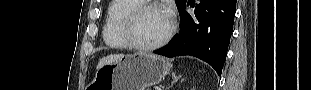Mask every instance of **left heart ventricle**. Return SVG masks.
<instances>
[{
	"mask_svg": "<svg viewBox=\"0 0 311 90\" xmlns=\"http://www.w3.org/2000/svg\"><path fill=\"white\" fill-rule=\"evenodd\" d=\"M170 19L161 9L147 10L139 18L136 37L142 44H152L160 40L168 31Z\"/></svg>",
	"mask_w": 311,
	"mask_h": 90,
	"instance_id": "b2bd125f",
	"label": "left heart ventricle"
}]
</instances>
